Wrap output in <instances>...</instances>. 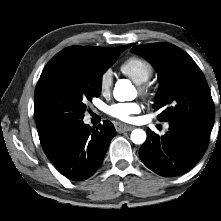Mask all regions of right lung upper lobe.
Listing matches in <instances>:
<instances>
[{"mask_svg": "<svg viewBox=\"0 0 221 221\" xmlns=\"http://www.w3.org/2000/svg\"><path fill=\"white\" fill-rule=\"evenodd\" d=\"M126 48L120 46L116 48L92 47V46H70L57 53L46 65L49 68L61 61L68 60H88V59H109L119 57V54ZM45 147L49 141H40Z\"/></svg>", "mask_w": 221, "mask_h": 221, "instance_id": "cb5924a9", "label": "right lung upper lobe"}]
</instances>
